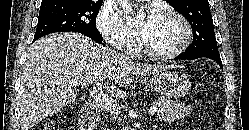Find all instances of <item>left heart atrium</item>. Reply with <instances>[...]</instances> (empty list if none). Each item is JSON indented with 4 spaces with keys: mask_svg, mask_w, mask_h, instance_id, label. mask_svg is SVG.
Segmentation results:
<instances>
[{
    "mask_svg": "<svg viewBox=\"0 0 249 130\" xmlns=\"http://www.w3.org/2000/svg\"><path fill=\"white\" fill-rule=\"evenodd\" d=\"M158 13L155 11H150L148 14L146 20L144 21L143 26L140 29L141 34L145 32V30L154 22V20L158 17Z\"/></svg>",
    "mask_w": 249,
    "mask_h": 130,
    "instance_id": "1",
    "label": "left heart atrium"
}]
</instances>
